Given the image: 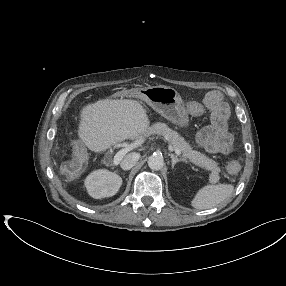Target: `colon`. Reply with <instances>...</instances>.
<instances>
[{
  "label": "colon",
  "instance_id": "obj_1",
  "mask_svg": "<svg viewBox=\"0 0 286 286\" xmlns=\"http://www.w3.org/2000/svg\"><path fill=\"white\" fill-rule=\"evenodd\" d=\"M210 99H211L210 97H207V101H210ZM228 168H229L230 172L235 173L239 170V164L237 162L233 161L229 164Z\"/></svg>",
  "mask_w": 286,
  "mask_h": 286
}]
</instances>
